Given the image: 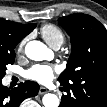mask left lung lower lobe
<instances>
[{
    "instance_id": "1",
    "label": "left lung lower lobe",
    "mask_w": 107,
    "mask_h": 107,
    "mask_svg": "<svg viewBox=\"0 0 107 107\" xmlns=\"http://www.w3.org/2000/svg\"><path fill=\"white\" fill-rule=\"evenodd\" d=\"M82 98L80 99V107H107V82L100 80L96 83L82 84ZM67 95L61 98L59 107H71L74 102L71 96L72 92L65 88Z\"/></svg>"
}]
</instances>
